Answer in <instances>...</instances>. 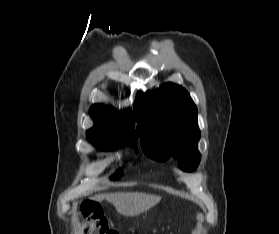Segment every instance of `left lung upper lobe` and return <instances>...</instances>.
<instances>
[{"mask_svg":"<svg viewBox=\"0 0 279 234\" xmlns=\"http://www.w3.org/2000/svg\"><path fill=\"white\" fill-rule=\"evenodd\" d=\"M134 116L142 149L149 157L167 160L172 156L184 171L197 168V107L184 88L167 83L152 94L139 92Z\"/></svg>","mask_w":279,"mask_h":234,"instance_id":"obj_1","label":"left lung upper lobe"}]
</instances>
